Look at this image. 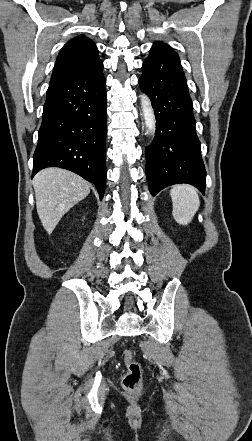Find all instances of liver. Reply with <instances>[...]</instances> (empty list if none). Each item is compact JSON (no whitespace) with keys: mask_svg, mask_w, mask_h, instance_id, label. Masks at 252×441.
Segmentation results:
<instances>
[{"mask_svg":"<svg viewBox=\"0 0 252 441\" xmlns=\"http://www.w3.org/2000/svg\"><path fill=\"white\" fill-rule=\"evenodd\" d=\"M36 208L41 223L51 234L61 218L90 193L80 176L60 168H46L33 179Z\"/></svg>","mask_w":252,"mask_h":441,"instance_id":"6515ba94","label":"liver"}]
</instances>
